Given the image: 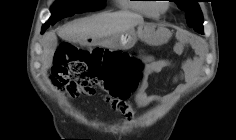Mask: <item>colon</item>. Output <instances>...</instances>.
Listing matches in <instances>:
<instances>
[{"label": "colon", "mask_w": 236, "mask_h": 140, "mask_svg": "<svg viewBox=\"0 0 236 140\" xmlns=\"http://www.w3.org/2000/svg\"><path fill=\"white\" fill-rule=\"evenodd\" d=\"M143 74L144 65L125 52L83 50L65 42L56 51L51 79L69 95H93L102 90L115 104L131 96Z\"/></svg>", "instance_id": "obj_1"}]
</instances>
